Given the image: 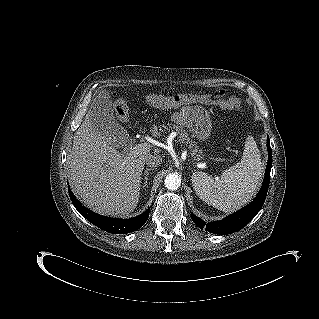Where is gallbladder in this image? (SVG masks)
Segmentation results:
<instances>
[{
	"label": "gallbladder",
	"instance_id": "gallbladder-1",
	"mask_svg": "<svg viewBox=\"0 0 319 319\" xmlns=\"http://www.w3.org/2000/svg\"><path fill=\"white\" fill-rule=\"evenodd\" d=\"M92 123L101 136L114 140L126 138L127 131L116 121L113 115L112 102L109 94L99 93L91 104Z\"/></svg>",
	"mask_w": 319,
	"mask_h": 319
}]
</instances>
